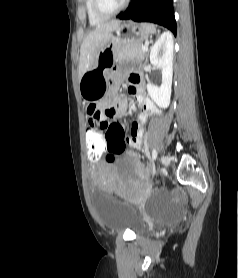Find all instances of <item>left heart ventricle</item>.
<instances>
[{"label": "left heart ventricle", "mask_w": 238, "mask_h": 278, "mask_svg": "<svg viewBox=\"0 0 238 278\" xmlns=\"http://www.w3.org/2000/svg\"><path fill=\"white\" fill-rule=\"evenodd\" d=\"M101 2L102 6L106 10H113L117 8L123 2V0H101Z\"/></svg>", "instance_id": "obj_1"}]
</instances>
